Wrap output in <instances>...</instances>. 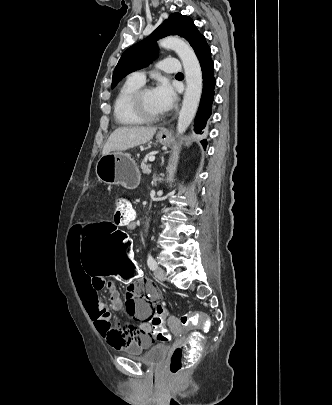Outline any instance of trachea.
<instances>
[{"label":"trachea","instance_id":"obj_1","mask_svg":"<svg viewBox=\"0 0 332 405\" xmlns=\"http://www.w3.org/2000/svg\"><path fill=\"white\" fill-rule=\"evenodd\" d=\"M177 75H182V73H177Z\"/></svg>","mask_w":332,"mask_h":405}]
</instances>
